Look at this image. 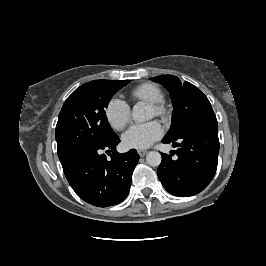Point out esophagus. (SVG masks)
Wrapping results in <instances>:
<instances>
[{"label": "esophagus", "mask_w": 266, "mask_h": 266, "mask_svg": "<svg viewBox=\"0 0 266 266\" xmlns=\"http://www.w3.org/2000/svg\"><path fill=\"white\" fill-rule=\"evenodd\" d=\"M140 157H144L147 154L146 150H137Z\"/></svg>", "instance_id": "obj_1"}]
</instances>
